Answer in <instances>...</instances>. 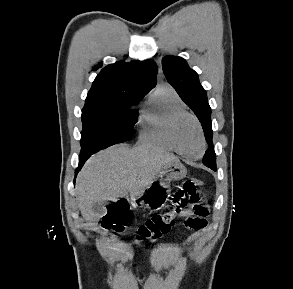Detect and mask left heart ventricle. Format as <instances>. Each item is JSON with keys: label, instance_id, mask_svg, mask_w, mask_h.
<instances>
[{"label": "left heart ventricle", "instance_id": "1", "mask_svg": "<svg viewBox=\"0 0 293 289\" xmlns=\"http://www.w3.org/2000/svg\"><path fill=\"white\" fill-rule=\"evenodd\" d=\"M177 140L181 150L192 157L198 156L202 149V140L196 124L185 119L179 124Z\"/></svg>", "mask_w": 293, "mask_h": 289}]
</instances>
